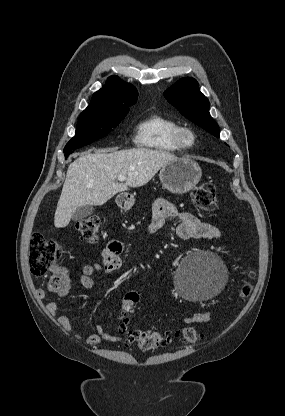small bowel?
<instances>
[{
  "label": "small bowel",
  "mask_w": 285,
  "mask_h": 416,
  "mask_svg": "<svg viewBox=\"0 0 285 416\" xmlns=\"http://www.w3.org/2000/svg\"><path fill=\"white\" fill-rule=\"evenodd\" d=\"M167 219H178L180 223L175 228L176 235L183 240L191 239H206V240H221L222 234L220 230L207 222H203L195 215L188 212H181L176 209L168 201L159 198L155 201L153 206V214L149 224V231L154 232L161 228ZM124 250V245L119 240H111L102 250L101 262L86 264L81 269L79 277L80 284L88 290L94 288L93 278L98 274L111 275L116 273L121 268V254ZM65 273V282L60 290L57 291L59 298L66 297L71 289L70 281L67 279V271ZM45 292L43 289L38 290L39 298H43ZM48 313L56 318L58 325L68 333H73L69 318L64 315H59V307L57 303L50 302L46 305ZM211 313L209 311L194 313L186 316L183 321L186 324H204L210 320ZM74 336L84 341L89 345H97L102 340L116 342L121 340V336L108 332L105 327L98 324L95 327V332L82 335L74 333Z\"/></svg>",
  "instance_id": "obj_1"
}]
</instances>
